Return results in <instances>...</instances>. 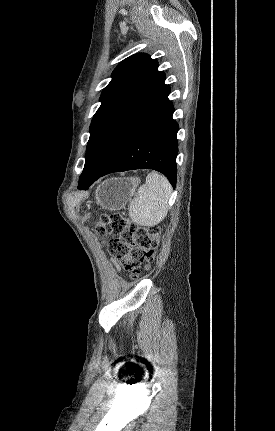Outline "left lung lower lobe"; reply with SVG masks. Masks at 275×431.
I'll return each mask as SVG.
<instances>
[{"instance_id": "obj_1", "label": "left lung lower lobe", "mask_w": 275, "mask_h": 431, "mask_svg": "<svg viewBox=\"0 0 275 431\" xmlns=\"http://www.w3.org/2000/svg\"><path fill=\"white\" fill-rule=\"evenodd\" d=\"M173 113V103L168 100L104 171L89 175L87 181L79 182L78 188L88 189L101 176L113 172L140 168L163 173L175 187L178 124Z\"/></svg>"}]
</instances>
